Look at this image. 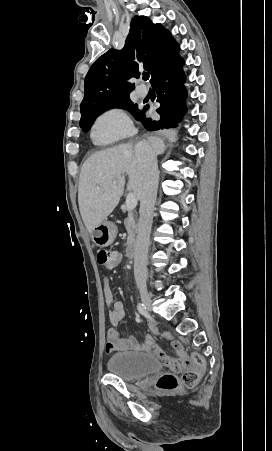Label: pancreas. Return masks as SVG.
I'll return each instance as SVG.
<instances>
[{"instance_id": "pancreas-1", "label": "pancreas", "mask_w": 272, "mask_h": 451, "mask_svg": "<svg viewBox=\"0 0 272 451\" xmlns=\"http://www.w3.org/2000/svg\"><path fill=\"white\" fill-rule=\"evenodd\" d=\"M124 226L127 229L128 237H127V249H130L132 245L135 243V233H137V224L136 220H134V214H128V218L124 220Z\"/></svg>"}]
</instances>
